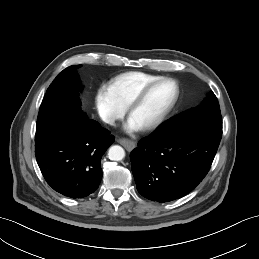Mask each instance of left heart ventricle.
Returning <instances> with one entry per match:
<instances>
[{
  "label": "left heart ventricle",
  "mask_w": 259,
  "mask_h": 259,
  "mask_svg": "<svg viewBox=\"0 0 259 259\" xmlns=\"http://www.w3.org/2000/svg\"><path fill=\"white\" fill-rule=\"evenodd\" d=\"M175 92V86L171 82L156 85L132 111L130 117L141 127L148 125L172 102Z\"/></svg>",
  "instance_id": "obj_1"
}]
</instances>
